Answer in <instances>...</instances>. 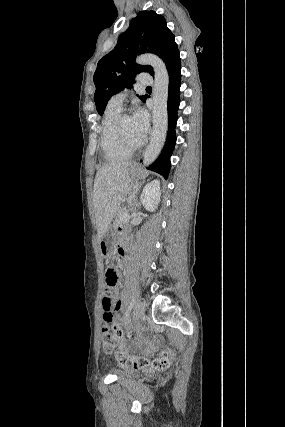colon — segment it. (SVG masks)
Returning <instances> with one entry per match:
<instances>
[{
  "label": "colon",
  "mask_w": 285,
  "mask_h": 427,
  "mask_svg": "<svg viewBox=\"0 0 285 427\" xmlns=\"http://www.w3.org/2000/svg\"><path fill=\"white\" fill-rule=\"evenodd\" d=\"M118 281V273L113 268H108L105 272L106 293H109L116 286ZM119 317L118 313L109 314L106 323L102 329V342L105 351L111 355L114 354L115 359L119 364L134 369H142L148 364L146 358L130 355L122 351H116V347L121 337V328L117 322ZM175 353L172 349L162 351L152 362V367L155 370L167 369L173 359Z\"/></svg>",
  "instance_id": "obj_1"
}]
</instances>
